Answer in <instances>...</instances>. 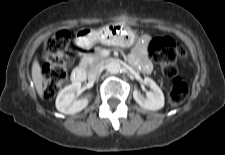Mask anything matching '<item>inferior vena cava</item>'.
<instances>
[{"instance_id": "inferior-vena-cava-1", "label": "inferior vena cava", "mask_w": 225, "mask_h": 155, "mask_svg": "<svg viewBox=\"0 0 225 155\" xmlns=\"http://www.w3.org/2000/svg\"><path fill=\"white\" fill-rule=\"evenodd\" d=\"M102 69H103V64H97L90 67L88 71V78L95 79L98 76V74L101 73Z\"/></svg>"}]
</instances>
